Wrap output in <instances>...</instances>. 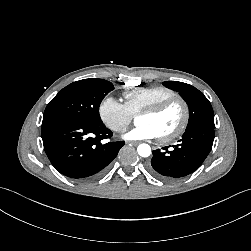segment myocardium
<instances>
[{
	"mask_svg": "<svg viewBox=\"0 0 251 251\" xmlns=\"http://www.w3.org/2000/svg\"><path fill=\"white\" fill-rule=\"evenodd\" d=\"M174 104H179L182 109V118L179 125L172 132L159 136L161 142H171L178 137H180L186 130L189 119H190V109L188 103L180 96H173L165 99L155 105L147 107L140 111L138 114H148V115H158L168 109Z\"/></svg>",
	"mask_w": 251,
	"mask_h": 251,
	"instance_id": "1",
	"label": "myocardium"
}]
</instances>
